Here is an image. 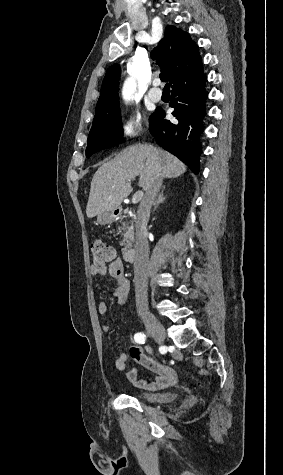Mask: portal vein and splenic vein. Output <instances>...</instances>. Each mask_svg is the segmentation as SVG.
<instances>
[{"mask_svg":"<svg viewBox=\"0 0 283 475\" xmlns=\"http://www.w3.org/2000/svg\"><path fill=\"white\" fill-rule=\"evenodd\" d=\"M127 182H130V180H127ZM141 198H143V192H136L132 198L133 204H137V202H140Z\"/></svg>","mask_w":283,"mask_h":475,"instance_id":"obj_1","label":"portal vein and splenic vein"}]
</instances>
